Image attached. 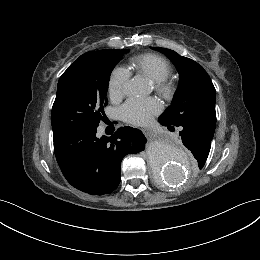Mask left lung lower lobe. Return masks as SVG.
<instances>
[{
	"label": "left lung lower lobe",
	"mask_w": 260,
	"mask_h": 260,
	"mask_svg": "<svg viewBox=\"0 0 260 260\" xmlns=\"http://www.w3.org/2000/svg\"><path fill=\"white\" fill-rule=\"evenodd\" d=\"M159 122L161 125L167 126L169 130H174V125L165 118L160 116ZM177 127L180 128L183 144L192 152L198 165H204L209 155L214 132L195 122H185Z\"/></svg>",
	"instance_id": "1"
}]
</instances>
